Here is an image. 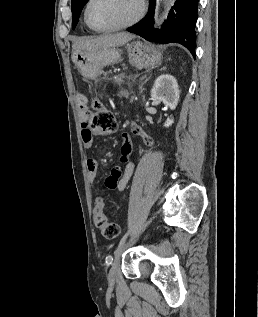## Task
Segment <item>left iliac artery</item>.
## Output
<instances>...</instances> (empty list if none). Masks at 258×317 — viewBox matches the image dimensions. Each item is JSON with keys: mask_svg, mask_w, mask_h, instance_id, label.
<instances>
[{"mask_svg": "<svg viewBox=\"0 0 258 317\" xmlns=\"http://www.w3.org/2000/svg\"><path fill=\"white\" fill-rule=\"evenodd\" d=\"M128 235H129V231L126 232V233L122 236V238H121L120 241H119V244H118V247H117V250H116V251H118V250L120 249V247L124 244V242L126 241Z\"/></svg>", "mask_w": 258, "mask_h": 317, "instance_id": "left-iliac-artery-1", "label": "left iliac artery"}]
</instances>
